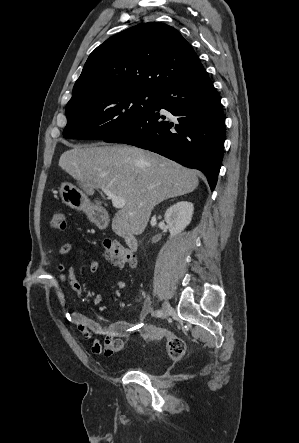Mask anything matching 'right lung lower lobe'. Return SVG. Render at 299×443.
Instances as JSON below:
<instances>
[{"label":"right lung lower lobe","mask_w":299,"mask_h":443,"mask_svg":"<svg viewBox=\"0 0 299 443\" xmlns=\"http://www.w3.org/2000/svg\"><path fill=\"white\" fill-rule=\"evenodd\" d=\"M224 135L225 116L220 98L203 69L161 88L150 111L103 140L134 145L199 169L214 190L223 158Z\"/></svg>","instance_id":"98d812e1"}]
</instances>
